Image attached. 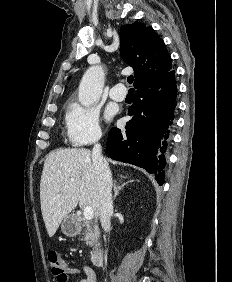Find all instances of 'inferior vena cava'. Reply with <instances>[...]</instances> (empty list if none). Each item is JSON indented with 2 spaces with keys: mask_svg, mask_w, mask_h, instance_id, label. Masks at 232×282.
I'll return each mask as SVG.
<instances>
[{
  "mask_svg": "<svg viewBox=\"0 0 232 282\" xmlns=\"http://www.w3.org/2000/svg\"><path fill=\"white\" fill-rule=\"evenodd\" d=\"M92 160L97 176L99 192V215L101 226L105 232L110 231L111 215L113 213L112 201V176L108 163L102 156L101 145L94 144L92 149Z\"/></svg>",
  "mask_w": 232,
  "mask_h": 282,
  "instance_id": "1",
  "label": "inferior vena cava"
}]
</instances>
